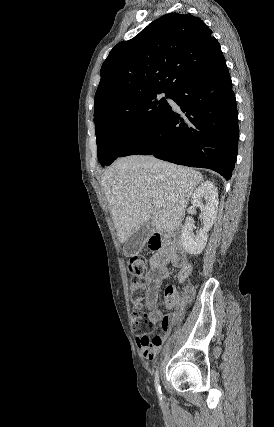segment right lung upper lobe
<instances>
[{
  "instance_id": "right-lung-upper-lobe-1",
  "label": "right lung upper lobe",
  "mask_w": 274,
  "mask_h": 427,
  "mask_svg": "<svg viewBox=\"0 0 274 427\" xmlns=\"http://www.w3.org/2000/svg\"><path fill=\"white\" fill-rule=\"evenodd\" d=\"M225 65L219 43L199 17L163 15L110 51L101 68L94 117L132 96L172 94Z\"/></svg>"
}]
</instances>
